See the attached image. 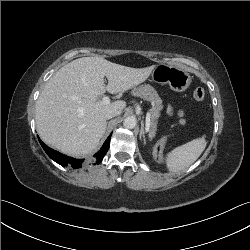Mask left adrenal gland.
I'll return each mask as SVG.
<instances>
[{"label":"left adrenal gland","instance_id":"obj_1","mask_svg":"<svg viewBox=\"0 0 250 250\" xmlns=\"http://www.w3.org/2000/svg\"><path fill=\"white\" fill-rule=\"evenodd\" d=\"M145 134H146V131L144 129V122L142 121L141 122V130H140V134H139L140 139L143 137V140L145 141Z\"/></svg>","mask_w":250,"mask_h":250}]
</instances>
